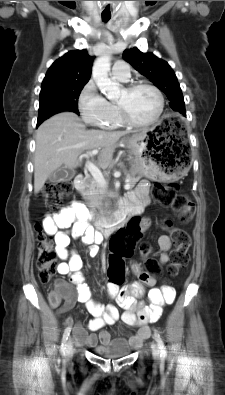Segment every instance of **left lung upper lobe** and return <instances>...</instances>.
I'll return each instance as SVG.
<instances>
[{
	"mask_svg": "<svg viewBox=\"0 0 225 395\" xmlns=\"http://www.w3.org/2000/svg\"><path fill=\"white\" fill-rule=\"evenodd\" d=\"M123 58L166 94L170 100V107L174 111L186 115L182 90L175 73L167 62L153 53H143L136 47L126 49L123 52Z\"/></svg>",
	"mask_w": 225,
	"mask_h": 395,
	"instance_id": "1",
	"label": "left lung upper lobe"
}]
</instances>
